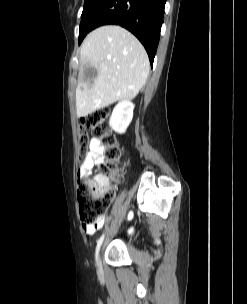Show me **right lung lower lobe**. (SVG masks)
Instances as JSON below:
<instances>
[{"mask_svg":"<svg viewBox=\"0 0 247 304\" xmlns=\"http://www.w3.org/2000/svg\"><path fill=\"white\" fill-rule=\"evenodd\" d=\"M166 0H100L81 21L83 36L107 24L120 25L132 32L145 47L153 65L159 43Z\"/></svg>","mask_w":247,"mask_h":304,"instance_id":"98d812e1","label":"right lung lower lobe"}]
</instances>
